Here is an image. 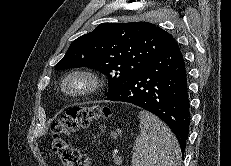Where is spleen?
Instances as JSON below:
<instances>
[{"label":"spleen","instance_id":"obj_1","mask_svg":"<svg viewBox=\"0 0 231 166\" xmlns=\"http://www.w3.org/2000/svg\"><path fill=\"white\" fill-rule=\"evenodd\" d=\"M140 135L133 146L132 166H179L181 149L173 132L158 117L140 111Z\"/></svg>","mask_w":231,"mask_h":166}]
</instances>
